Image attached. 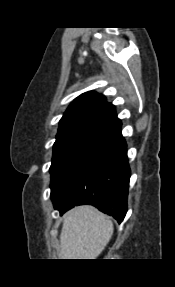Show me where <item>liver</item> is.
I'll return each mask as SVG.
<instances>
[{
    "mask_svg": "<svg viewBox=\"0 0 175 287\" xmlns=\"http://www.w3.org/2000/svg\"><path fill=\"white\" fill-rule=\"evenodd\" d=\"M113 222L91 206L76 207L64 216L61 259H97L110 241Z\"/></svg>",
    "mask_w": 175,
    "mask_h": 287,
    "instance_id": "liver-1",
    "label": "liver"
}]
</instances>
